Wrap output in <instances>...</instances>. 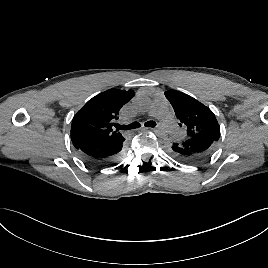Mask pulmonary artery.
<instances>
[{"label": "pulmonary artery", "mask_w": 268, "mask_h": 268, "mask_svg": "<svg viewBox=\"0 0 268 268\" xmlns=\"http://www.w3.org/2000/svg\"><path fill=\"white\" fill-rule=\"evenodd\" d=\"M152 114L161 121L162 125L169 133L175 134L179 132V128L177 127L165 100L157 101L154 104Z\"/></svg>", "instance_id": "obj_1"}]
</instances>
